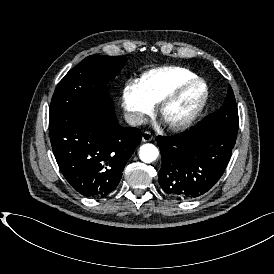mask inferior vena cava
<instances>
[{
	"label": "inferior vena cava",
	"instance_id": "obj_1",
	"mask_svg": "<svg viewBox=\"0 0 274 274\" xmlns=\"http://www.w3.org/2000/svg\"><path fill=\"white\" fill-rule=\"evenodd\" d=\"M125 121L131 126H139L145 122V117L141 113L126 112L124 114Z\"/></svg>",
	"mask_w": 274,
	"mask_h": 274
}]
</instances>
